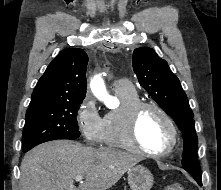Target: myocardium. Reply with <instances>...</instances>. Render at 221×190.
Instances as JSON below:
<instances>
[{"mask_svg":"<svg viewBox=\"0 0 221 190\" xmlns=\"http://www.w3.org/2000/svg\"><path fill=\"white\" fill-rule=\"evenodd\" d=\"M146 108L156 110L166 121L171 132L169 145L161 151H152L144 148L138 141L137 125L142 111ZM124 135L126 142L132 151L151 157H162L171 153L178 144V130L176 124L168 112L154 102L140 101L128 108L125 116Z\"/></svg>","mask_w":221,"mask_h":190,"instance_id":"f54148a6","label":"myocardium"}]
</instances>
